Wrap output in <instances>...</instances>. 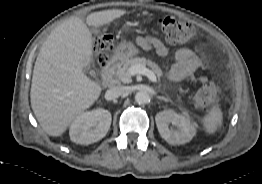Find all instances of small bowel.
Returning a JSON list of instances; mask_svg holds the SVG:
<instances>
[{
    "label": "small bowel",
    "instance_id": "1",
    "mask_svg": "<svg viewBox=\"0 0 262 184\" xmlns=\"http://www.w3.org/2000/svg\"><path fill=\"white\" fill-rule=\"evenodd\" d=\"M136 43L144 49H153L161 56L168 54V48L164 43L154 36H139ZM176 62L170 68V76L176 81L191 79L202 80L203 77H197L198 71L202 68V62L199 57L190 49L180 48L175 52Z\"/></svg>",
    "mask_w": 262,
    "mask_h": 184
}]
</instances>
